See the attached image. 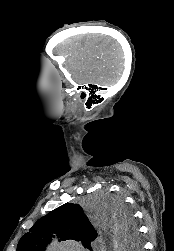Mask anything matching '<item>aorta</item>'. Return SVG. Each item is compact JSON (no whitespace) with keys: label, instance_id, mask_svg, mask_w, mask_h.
I'll list each match as a JSON object with an SVG mask.
<instances>
[{"label":"aorta","instance_id":"762f6f07","mask_svg":"<svg viewBox=\"0 0 174 251\" xmlns=\"http://www.w3.org/2000/svg\"><path fill=\"white\" fill-rule=\"evenodd\" d=\"M110 232L113 236V238L116 241V248H118V250H122L123 249V242H119V234H118V229L116 227V224L114 223V221H110ZM64 250H68V249H64Z\"/></svg>","mask_w":174,"mask_h":251}]
</instances>
